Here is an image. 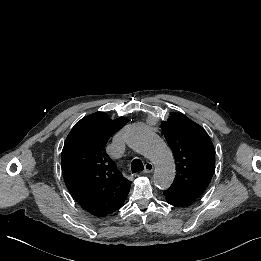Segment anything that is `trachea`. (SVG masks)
I'll return each mask as SVG.
<instances>
[{"mask_svg":"<svg viewBox=\"0 0 261 261\" xmlns=\"http://www.w3.org/2000/svg\"><path fill=\"white\" fill-rule=\"evenodd\" d=\"M144 169L143 162L140 159H134L131 163L132 173L140 172Z\"/></svg>","mask_w":261,"mask_h":261,"instance_id":"obj_1","label":"trachea"}]
</instances>
